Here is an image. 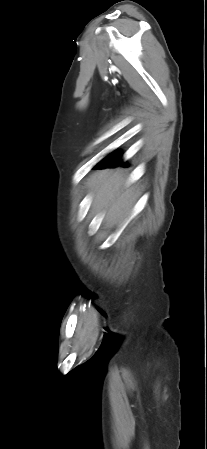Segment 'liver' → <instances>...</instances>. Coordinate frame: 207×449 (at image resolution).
Listing matches in <instances>:
<instances>
[{
	"mask_svg": "<svg viewBox=\"0 0 207 449\" xmlns=\"http://www.w3.org/2000/svg\"><path fill=\"white\" fill-rule=\"evenodd\" d=\"M87 186L95 190L93 209L98 212L107 210L106 220L109 223L121 222L134 205L137 192L126 185V179L119 170L97 172L88 180Z\"/></svg>",
	"mask_w": 207,
	"mask_h": 449,
	"instance_id": "obj_1",
	"label": "liver"
}]
</instances>
